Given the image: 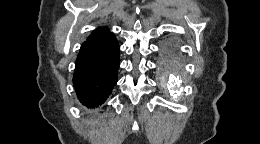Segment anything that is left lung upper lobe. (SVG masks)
I'll return each mask as SVG.
<instances>
[{
    "label": "left lung upper lobe",
    "instance_id": "1",
    "mask_svg": "<svg viewBox=\"0 0 260 144\" xmlns=\"http://www.w3.org/2000/svg\"><path fill=\"white\" fill-rule=\"evenodd\" d=\"M166 50H171V46H170V45H167V46H166Z\"/></svg>",
    "mask_w": 260,
    "mask_h": 144
}]
</instances>
